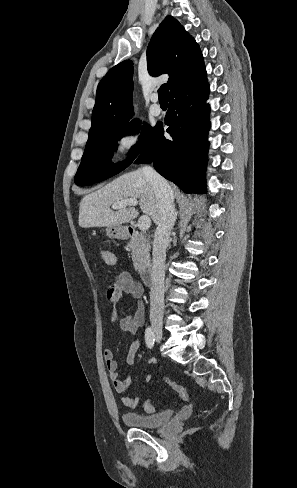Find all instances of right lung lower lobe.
Listing matches in <instances>:
<instances>
[{
	"instance_id": "right-lung-lower-lobe-1",
	"label": "right lung lower lobe",
	"mask_w": 297,
	"mask_h": 488,
	"mask_svg": "<svg viewBox=\"0 0 297 488\" xmlns=\"http://www.w3.org/2000/svg\"><path fill=\"white\" fill-rule=\"evenodd\" d=\"M208 94L206 74L171 94L165 124L172 139H166L164 129L158 127L135 161L153 163L158 173L184 192L205 189L210 128Z\"/></svg>"
}]
</instances>
